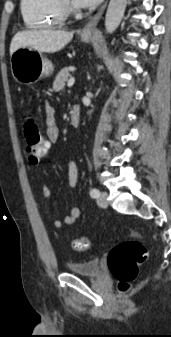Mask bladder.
Instances as JSON below:
<instances>
[{
	"mask_svg": "<svg viewBox=\"0 0 171 337\" xmlns=\"http://www.w3.org/2000/svg\"><path fill=\"white\" fill-rule=\"evenodd\" d=\"M67 269L72 274L96 278L101 274V263L98 259H91L81 262H70L67 264Z\"/></svg>",
	"mask_w": 171,
	"mask_h": 337,
	"instance_id": "31cf9c89",
	"label": "bladder"
}]
</instances>
